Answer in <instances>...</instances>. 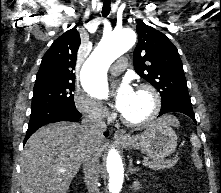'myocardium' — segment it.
<instances>
[{"label":"myocardium","mask_w":221,"mask_h":193,"mask_svg":"<svg viewBox=\"0 0 221 193\" xmlns=\"http://www.w3.org/2000/svg\"><path fill=\"white\" fill-rule=\"evenodd\" d=\"M137 91L146 92L151 96L152 108L146 117L139 120H132L121 115L122 122L129 127H142L151 123L157 117L161 108V97L154 86L148 83H142L138 85Z\"/></svg>","instance_id":"obj_1"}]
</instances>
